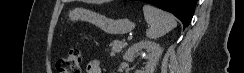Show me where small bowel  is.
Here are the masks:
<instances>
[{
    "label": "small bowel",
    "mask_w": 244,
    "mask_h": 73,
    "mask_svg": "<svg viewBox=\"0 0 244 73\" xmlns=\"http://www.w3.org/2000/svg\"><path fill=\"white\" fill-rule=\"evenodd\" d=\"M87 73H101V64L99 60H91L86 66Z\"/></svg>",
    "instance_id": "c3829d8e"
}]
</instances>
